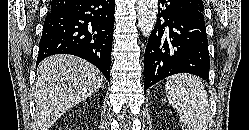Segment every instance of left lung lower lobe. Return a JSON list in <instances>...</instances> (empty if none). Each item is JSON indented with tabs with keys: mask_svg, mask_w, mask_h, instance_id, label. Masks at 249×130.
<instances>
[{
	"mask_svg": "<svg viewBox=\"0 0 249 130\" xmlns=\"http://www.w3.org/2000/svg\"><path fill=\"white\" fill-rule=\"evenodd\" d=\"M159 6L145 50L144 92L176 73H191L208 81L210 59L203 12L183 0H160Z\"/></svg>",
	"mask_w": 249,
	"mask_h": 130,
	"instance_id": "left-lung-lower-lobe-1",
	"label": "left lung lower lobe"
}]
</instances>
